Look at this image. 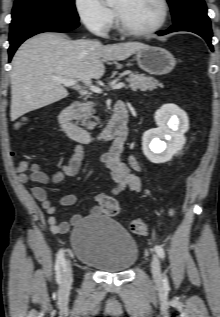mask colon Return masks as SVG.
<instances>
[{"instance_id": "1", "label": "colon", "mask_w": 220, "mask_h": 317, "mask_svg": "<svg viewBox=\"0 0 220 317\" xmlns=\"http://www.w3.org/2000/svg\"><path fill=\"white\" fill-rule=\"evenodd\" d=\"M120 211L119 204L116 199L108 197L103 202V212L109 217L116 216ZM130 228L132 232L139 235H144L147 232V223L141 218H134L130 222Z\"/></svg>"}]
</instances>
